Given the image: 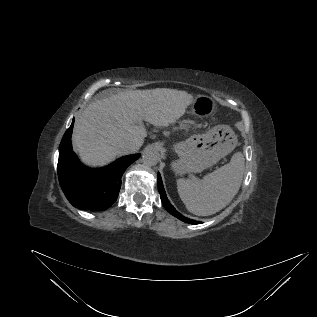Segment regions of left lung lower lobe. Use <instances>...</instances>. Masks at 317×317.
<instances>
[{
	"label": "left lung lower lobe",
	"instance_id": "0a47b994",
	"mask_svg": "<svg viewBox=\"0 0 317 317\" xmlns=\"http://www.w3.org/2000/svg\"><path fill=\"white\" fill-rule=\"evenodd\" d=\"M158 190L161 196V200L166 208V210L172 214L173 216L179 218L180 220L186 222V223H190V224H199L201 222H197L195 220H191L188 219L186 217H183L179 212H177V210L170 204V202L168 201L167 197H166V193L165 190L163 188V184H162V179L160 174L158 173Z\"/></svg>",
	"mask_w": 317,
	"mask_h": 317
}]
</instances>
